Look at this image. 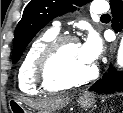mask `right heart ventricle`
<instances>
[{
  "mask_svg": "<svg viewBox=\"0 0 123 113\" xmlns=\"http://www.w3.org/2000/svg\"><path fill=\"white\" fill-rule=\"evenodd\" d=\"M58 36L55 29L47 30L37 37L27 50L18 70V84L22 91L30 94L53 93L61 89L48 88L40 84L35 73L36 61L42 50Z\"/></svg>",
  "mask_w": 123,
  "mask_h": 113,
  "instance_id": "e07e8e85",
  "label": "right heart ventricle"
}]
</instances>
